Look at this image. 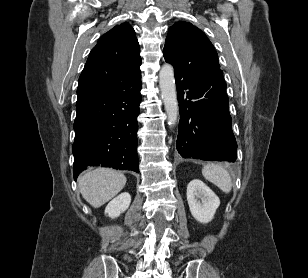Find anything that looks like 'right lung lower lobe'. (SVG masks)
<instances>
[{"label":"right lung lower lobe","mask_w":308,"mask_h":278,"mask_svg":"<svg viewBox=\"0 0 308 278\" xmlns=\"http://www.w3.org/2000/svg\"><path fill=\"white\" fill-rule=\"evenodd\" d=\"M140 90L141 78L124 91L76 103L74 179L89 165L139 172L136 132Z\"/></svg>","instance_id":"right-lung-lower-lobe-1"}]
</instances>
